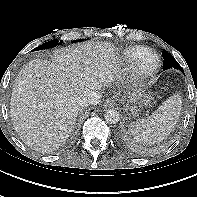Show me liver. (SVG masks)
<instances>
[{
    "instance_id": "liver-1",
    "label": "liver",
    "mask_w": 197,
    "mask_h": 197,
    "mask_svg": "<svg viewBox=\"0 0 197 197\" xmlns=\"http://www.w3.org/2000/svg\"><path fill=\"white\" fill-rule=\"evenodd\" d=\"M115 48L86 42L54 52L52 62L35 59L20 70L10 116L20 139L37 151L56 150L73 130L82 99L120 75Z\"/></svg>"
}]
</instances>
